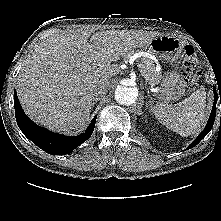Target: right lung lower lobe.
Instances as JSON below:
<instances>
[{
  "instance_id": "right-lung-lower-lobe-1",
  "label": "right lung lower lobe",
  "mask_w": 221,
  "mask_h": 221,
  "mask_svg": "<svg viewBox=\"0 0 221 221\" xmlns=\"http://www.w3.org/2000/svg\"><path fill=\"white\" fill-rule=\"evenodd\" d=\"M14 106L16 121L23 134L39 148L52 155L71 153L92 135L95 127L96 116L81 135L77 137L59 135L38 126L28 118L19 103L16 92H14Z\"/></svg>"
}]
</instances>
